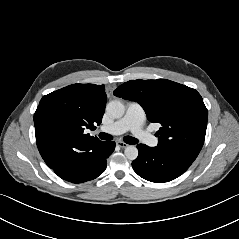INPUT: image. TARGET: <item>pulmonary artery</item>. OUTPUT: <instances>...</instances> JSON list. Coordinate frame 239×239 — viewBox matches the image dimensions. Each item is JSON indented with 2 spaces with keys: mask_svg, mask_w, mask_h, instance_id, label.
I'll list each match as a JSON object with an SVG mask.
<instances>
[{
  "mask_svg": "<svg viewBox=\"0 0 239 239\" xmlns=\"http://www.w3.org/2000/svg\"><path fill=\"white\" fill-rule=\"evenodd\" d=\"M144 121L145 112L143 108L138 103L129 102L126 104L125 115L113 124L102 127L101 130L114 135L131 131L142 143L155 147L158 144V140L143 128Z\"/></svg>",
  "mask_w": 239,
  "mask_h": 239,
  "instance_id": "e3ab8cb5",
  "label": "pulmonary artery"
}]
</instances>
